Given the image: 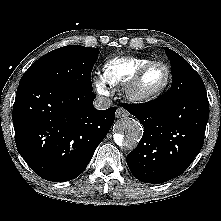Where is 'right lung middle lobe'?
<instances>
[{
  "label": "right lung middle lobe",
  "mask_w": 221,
  "mask_h": 221,
  "mask_svg": "<svg viewBox=\"0 0 221 221\" xmlns=\"http://www.w3.org/2000/svg\"><path fill=\"white\" fill-rule=\"evenodd\" d=\"M97 48L69 45L53 50L22 76L23 83H42L92 91L91 71L98 59Z\"/></svg>",
  "instance_id": "right-lung-middle-lobe-1"
}]
</instances>
